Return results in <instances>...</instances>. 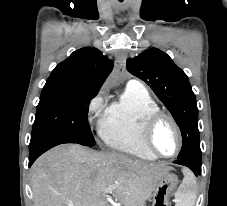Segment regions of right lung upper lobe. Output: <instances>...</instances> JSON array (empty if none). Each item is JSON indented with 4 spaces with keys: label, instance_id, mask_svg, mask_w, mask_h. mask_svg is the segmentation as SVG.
Instances as JSON below:
<instances>
[{
    "label": "right lung upper lobe",
    "instance_id": "obj_1",
    "mask_svg": "<svg viewBox=\"0 0 227 206\" xmlns=\"http://www.w3.org/2000/svg\"><path fill=\"white\" fill-rule=\"evenodd\" d=\"M112 68L113 61L100 50L81 48L54 68L44 87L96 94Z\"/></svg>",
    "mask_w": 227,
    "mask_h": 206
}]
</instances>
